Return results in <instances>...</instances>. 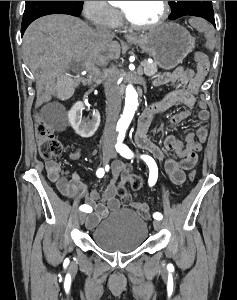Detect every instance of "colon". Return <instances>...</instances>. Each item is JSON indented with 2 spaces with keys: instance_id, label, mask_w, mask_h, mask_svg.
<instances>
[{
  "instance_id": "obj_1",
  "label": "colon",
  "mask_w": 237,
  "mask_h": 300,
  "mask_svg": "<svg viewBox=\"0 0 237 300\" xmlns=\"http://www.w3.org/2000/svg\"><path fill=\"white\" fill-rule=\"evenodd\" d=\"M190 24L193 28L205 34L207 46L213 49L216 45V39L208 24L199 17H193ZM194 60L197 65L206 66L209 64L207 56L202 53L195 54ZM36 137L38 152L43 159L50 160L62 154V143L56 138L52 128L40 117L36 125ZM195 176L196 172L190 171L188 178L193 180ZM127 186H130L133 190H139L142 187L141 177L138 175L125 176L123 183L118 188L119 196L126 197L128 195Z\"/></svg>"
}]
</instances>
